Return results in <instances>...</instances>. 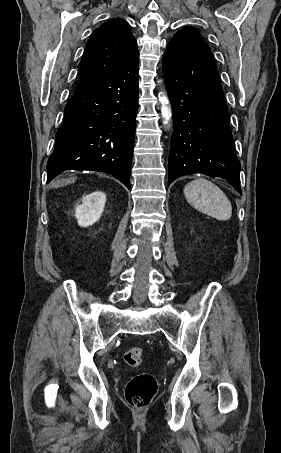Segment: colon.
<instances>
[{"instance_id": "1", "label": "colon", "mask_w": 281, "mask_h": 453, "mask_svg": "<svg viewBox=\"0 0 281 453\" xmlns=\"http://www.w3.org/2000/svg\"><path fill=\"white\" fill-rule=\"evenodd\" d=\"M124 361L128 366L139 367L144 363L143 350L134 347L124 353ZM157 392V382L152 374L135 373L129 378L125 388V398L130 406L136 409L147 407Z\"/></svg>"}]
</instances>
